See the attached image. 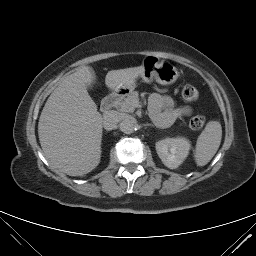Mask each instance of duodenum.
I'll return each mask as SVG.
<instances>
[{"label":"duodenum","instance_id":"duodenum-1","mask_svg":"<svg viewBox=\"0 0 256 256\" xmlns=\"http://www.w3.org/2000/svg\"><path fill=\"white\" fill-rule=\"evenodd\" d=\"M124 93L125 92L123 90H116L110 93L109 95H107L102 101V105H101L102 110L104 112L110 111L113 108L114 104L117 102V100L121 96H123Z\"/></svg>","mask_w":256,"mask_h":256}]
</instances>
